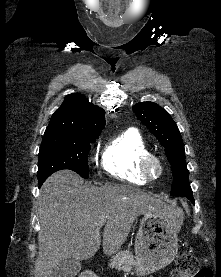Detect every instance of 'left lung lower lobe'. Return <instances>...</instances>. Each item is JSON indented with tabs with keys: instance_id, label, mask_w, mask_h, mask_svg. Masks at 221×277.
I'll return each instance as SVG.
<instances>
[{
	"instance_id": "1",
	"label": "left lung lower lobe",
	"mask_w": 221,
	"mask_h": 277,
	"mask_svg": "<svg viewBox=\"0 0 221 277\" xmlns=\"http://www.w3.org/2000/svg\"><path fill=\"white\" fill-rule=\"evenodd\" d=\"M187 198H188L192 203H194V199H193V195H192V194H191V195H188Z\"/></svg>"
}]
</instances>
